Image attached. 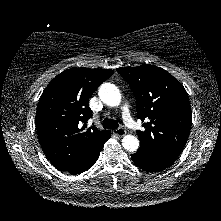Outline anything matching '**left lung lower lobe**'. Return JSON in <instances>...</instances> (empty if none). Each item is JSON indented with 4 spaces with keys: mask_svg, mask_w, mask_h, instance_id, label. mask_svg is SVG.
Listing matches in <instances>:
<instances>
[{
    "mask_svg": "<svg viewBox=\"0 0 221 221\" xmlns=\"http://www.w3.org/2000/svg\"><path fill=\"white\" fill-rule=\"evenodd\" d=\"M131 158L138 167L149 172L164 170L177 160V157L174 156L148 153L141 150L132 154Z\"/></svg>",
    "mask_w": 221,
    "mask_h": 221,
    "instance_id": "1",
    "label": "left lung lower lobe"
}]
</instances>
